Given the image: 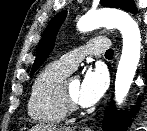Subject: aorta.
<instances>
[{
    "label": "aorta",
    "instance_id": "aorta-1",
    "mask_svg": "<svg viewBox=\"0 0 147 131\" xmlns=\"http://www.w3.org/2000/svg\"><path fill=\"white\" fill-rule=\"evenodd\" d=\"M117 28L123 37L122 55L115 80V100L118 105L126 98L140 59L141 35L137 23L126 12L102 9L82 16L77 27L80 31H91L98 27Z\"/></svg>",
    "mask_w": 147,
    "mask_h": 131
}]
</instances>
